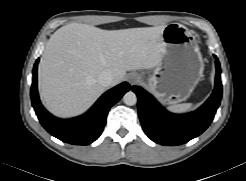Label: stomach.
Here are the masks:
<instances>
[{"mask_svg":"<svg viewBox=\"0 0 246 181\" xmlns=\"http://www.w3.org/2000/svg\"><path fill=\"white\" fill-rule=\"evenodd\" d=\"M162 38L165 52L146 85L159 101L176 105L191 95L203 76V59L197 42L185 26L167 25Z\"/></svg>","mask_w":246,"mask_h":181,"instance_id":"1","label":"stomach"}]
</instances>
